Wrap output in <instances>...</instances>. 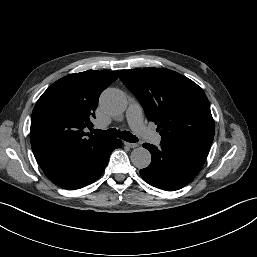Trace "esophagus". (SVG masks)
Instances as JSON below:
<instances>
[{
    "mask_svg": "<svg viewBox=\"0 0 257 257\" xmlns=\"http://www.w3.org/2000/svg\"><path fill=\"white\" fill-rule=\"evenodd\" d=\"M124 145H126L130 148H136L138 146V144H136V143H130V142H126V141H124Z\"/></svg>",
    "mask_w": 257,
    "mask_h": 257,
    "instance_id": "obj_1",
    "label": "esophagus"
}]
</instances>
